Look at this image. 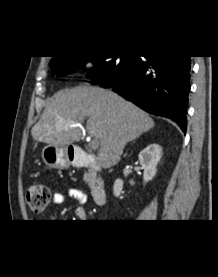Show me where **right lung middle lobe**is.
<instances>
[{
    "label": "right lung middle lobe",
    "instance_id": "dd1d6c3e",
    "mask_svg": "<svg viewBox=\"0 0 218 277\" xmlns=\"http://www.w3.org/2000/svg\"><path fill=\"white\" fill-rule=\"evenodd\" d=\"M138 59V56H78L56 57L51 60L50 67L53 74L65 75L85 66L91 61L95 67L89 72L92 81L116 82Z\"/></svg>",
    "mask_w": 218,
    "mask_h": 277
}]
</instances>
